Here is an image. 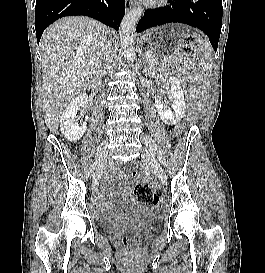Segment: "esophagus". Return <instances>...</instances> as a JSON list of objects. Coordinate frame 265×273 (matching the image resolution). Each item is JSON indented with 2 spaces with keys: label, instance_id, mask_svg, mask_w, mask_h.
Here are the masks:
<instances>
[{
  "label": "esophagus",
  "instance_id": "esophagus-1",
  "mask_svg": "<svg viewBox=\"0 0 265 273\" xmlns=\"http://www.w3.org/2000/svg\"><path fill=\"white\" fill-rule=\"evenodd\" d=\"M135 4H136V0H130V3H129L130 6H133Z\"/></svg>",
  "mask_w": 265,
  "mask_h": 273
}]
</instances>
